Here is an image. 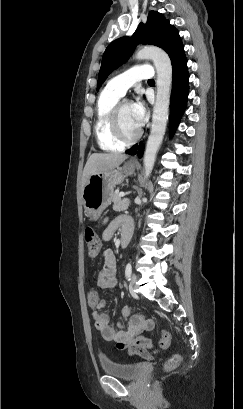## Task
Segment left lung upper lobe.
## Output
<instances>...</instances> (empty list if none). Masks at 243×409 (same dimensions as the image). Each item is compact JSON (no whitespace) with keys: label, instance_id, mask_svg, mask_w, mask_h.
<instances>
[{"label":"left lung upper lobe","instance_id":"left-lung-upper-lobe-1","mask_svg":"<svg viewBox=\"0 0 243 409\" xmlns=\"http://www.w3.org/2000/svg\"><path fill=\"white\" fill-rule=\"evenodd\" d=\"M138 43L158 46L170 58L183 46L178 31L169 20L159 12L150 11L146 24L141 23L132 37H121L108 45L102 58L97 90L107 76L131 56Z\"/></svg>","mask_w":243,"mask_h":409}]
</instances>
